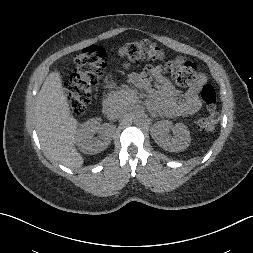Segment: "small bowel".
<instances>
[{
  "label": "small bowel",
  "instance_id": "small-bowel-1",
  "mask_svg": "<svg viewBox=\"0 0 253 253\" xmlns=\"http://www.w3.org/2000/svg\"><path fill=\"white\" fill-rule=\"evenodd\" d=\"M164 55L161 53L160 59ZM163 66L148 67L141 74H133L134 84L145 88L156 95L165 108L176 115L196 113L202 105L199 86L193 85L183 93L178 92L164 76Z\"/></svg>",
  "mask_w": 253,
  "mask_h": 253
}]
</instances>
